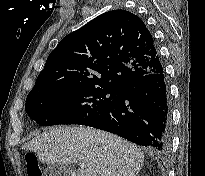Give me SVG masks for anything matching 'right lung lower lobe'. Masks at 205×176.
Here are the masks:
<instances>
[{
    "mask_svg": "<svg viewBox=\"0 0 205 176\" xmlns=\"http://www.w3.org/2000/svg\"><path fill=\"white\" fill-rule=\"evenodd\" d=\"M170 106L164 69L137 78L86 126L165 153L170 149Z\"/></svg>",
    "mask_w": 205,
    "mask_h": 176,
    "instance_id": "1",
    "label": "right lung lower lobe"
}]
</instances>
